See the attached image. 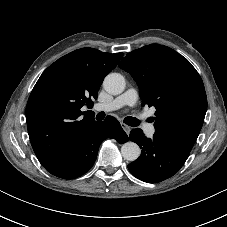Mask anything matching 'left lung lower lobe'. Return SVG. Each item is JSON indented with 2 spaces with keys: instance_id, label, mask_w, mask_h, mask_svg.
Returning <instances> with one entry per match:
<instances>
[{
  "instance_id": "0a47b994",
  "label": "left lung lower lobe",
  "mask_w": 227,
  "mask_h": 227,
  "mask_svg": "<svg viewBox=\"0 0 227 227\" xmlns=\"http://www.w3.org/2000/svg\"><path fill=\"white\" fill-rule=\"evenodd\" d=\"M130 140L137 143L141 156L128 165L129 171L138 179L158 183L176 174L189 156V152L169 144L165 137L154 134L147 138L139 128L130 132Z\"/></svg>"
}]
</instances>
